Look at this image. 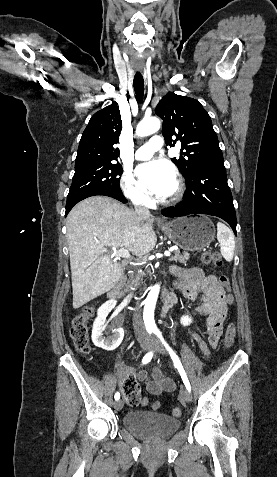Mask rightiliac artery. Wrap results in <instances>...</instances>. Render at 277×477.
Returning <instances> with one entry per match:
<instances>
[{"label": "right iliac artery", "mask_w": 277, "mask_h": 477, "mask_svg": "<svg viewBox=\"0 0 277 477\" xmlns=\"http://www.w3.org/2000/svg\"><path fill=\"white\" fill-rule=\"evenodd\" d=\"M152 356H153V353L152 352H149L147 353L143 359H142V363L143 364H146L148 363L151 359H152ZM115 400H118L120 398V394L117 392L114 396Z\"/></svg>", "instance_id": "right-iliac-artery-1"}]
</instances>
